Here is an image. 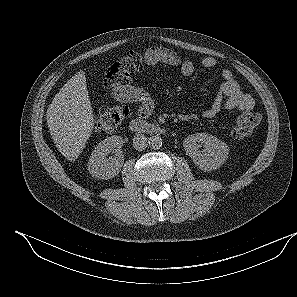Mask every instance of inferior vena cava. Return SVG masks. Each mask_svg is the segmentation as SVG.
<instances>
[{"instance_id":"obj_1","label":"inferior vena cava","mask_w":297,"mask_h":297,"mask_svg":"<svg viewBox=\"0 0 297 297\" xmlns=\"http://www.w3.org/2000/svg\"><path fill=\"white\" fill-rule=\"evenodd\" d=\"M133 147L138 150L142 151L147 147V138L144 134H137L133 138Z\"/></svg>"}]
</instances>
